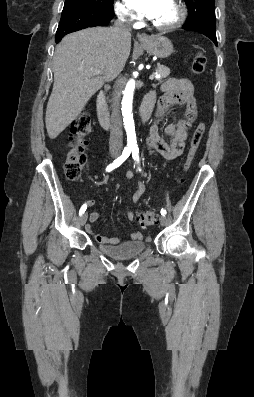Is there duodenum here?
Wrapping results in <instances>:
<instances>
[{
  "mask_svg": "<svg viewBox=\"0 0 254 397\" xmlns=\"http://www.w3.org/2000/svg\"><path fill=\"white\" fill-rule=\"evenodd\" d=\"M153 105H154V98L150 93H148L144 97L139 110V115L143 123H146L149 120L153 109ZM96 109H97L99 123L103 128H108L110 126V115L106 102V96L103 91H100L97 95Z\"/></svg>",
  "mask_w": 254,
  "mask_h": 397,
  "instance_id": "duodenum-1",
  "label": "duodenum"
}]
</instances>
